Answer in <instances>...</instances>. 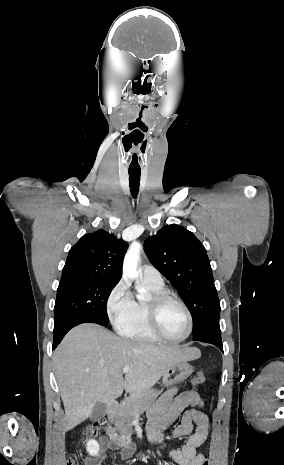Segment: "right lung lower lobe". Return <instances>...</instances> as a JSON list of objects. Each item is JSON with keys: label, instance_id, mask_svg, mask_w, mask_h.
Instances as JSON below:
<instances>
[{"label": "right lung lower lobe", "instance_id": "98d812e1", "mask_svg": "<svg viewBox=\"0 0 284 465\" xmlns=\"http://www.w3.org/2000/svg\"><path fill=\"white\" fill-rule=\"evenodd\" d=\"M82 323H96L102 326H107L108 324H105L103 322H100L99 320L91 317H76L69 319L62 323L59 326H54V331H53V350L58 346V344L61 342L63 337L66 335V333L73 327L82 324Z\"/></svg>", "mask_w": 284, "mask_h": 465}]
</instances>
